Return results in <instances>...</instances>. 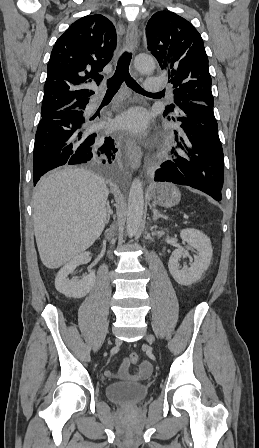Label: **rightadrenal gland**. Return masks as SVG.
Instances as JSON below:
<instances>
[{
	"label": "right adrenal gland",
	"mask_w": 259,
	"mask_h": 448,
	"mask_svg": "<svg viewBox=\"0 0 259 448\" xmlns=\"http://www.w3.org/2000/svg\"><path fill=\"white\" fill-rule=\"evenodd\" d=\"M111 214H113V210H111V208L109 206V202H107V220H106V224H109V220H110Z\"/></svg>",
	"instance_id": "2a0ac1e0"
}]
</instances>
